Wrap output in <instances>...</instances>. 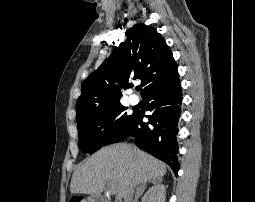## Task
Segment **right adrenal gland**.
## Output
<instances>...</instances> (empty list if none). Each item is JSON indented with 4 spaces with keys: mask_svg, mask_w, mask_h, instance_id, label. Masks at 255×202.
<instances>
[{
    "mask_svg": "<svg viewBox=\"0 0 255 202\" xmlns=\"http://www.w3.org/2000/svg\"><path fill=\"white\" fill-rule=\"evenodd\" d=\"M161 182H162V178H157V179H153L152 181H149L148 183H152V184L156 185V184L161 183ZM145 188H146V184L144 185V189L143 190L138 191L136 193L135 199H134L133 202H137L138 201V199L143 195V192H144Z\"/></svg>",
    "mask_w": 255,
    "mask_h": 202,
    "instance_id": "1",
    "label": "right adrenal gland"
}]
</instances>
